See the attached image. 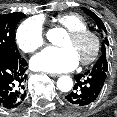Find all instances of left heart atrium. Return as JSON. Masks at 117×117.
<instances>
[{
  "label": "left heart atrium",
  "mask_w": 117,
  "mask_h": 117,
  "mask_svg": "<svg viewBox=\"0 0 117 117\" xmlns=\"http://www.w3.org/2000/svg\"><path fill=\"white\" fill-rule=\"evenodd\" d=\"M79 63V58L71 47H48L31 59L34 69L59 73L73 70Z\"/></svg>",
  "instance_id": "left-heart-atrium-1"
}]
</instances>
